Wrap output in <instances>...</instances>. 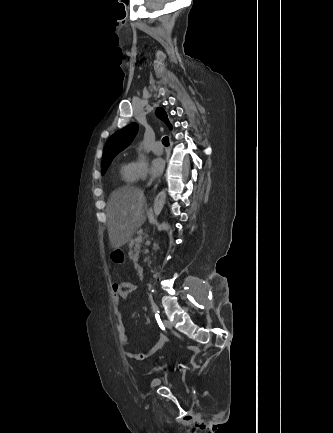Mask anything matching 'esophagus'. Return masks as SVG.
<instances>
[{
  "mask_svg": "<svg viewBox=\"0 0 333 433\" xmlns=\"http://www.w3.org/2000/svg\"><path fill=\"white\" fill-rule=\"evenodd\" d=\"M160 183V179L158 180V182L156 183V185H155V188L157 187V185Z\"/></svg>",
  "mask_w": 333,
  "mask_h": 433,
  "instance_id": "obj_1",
  "label": "esophagus"
}]
</instances>
